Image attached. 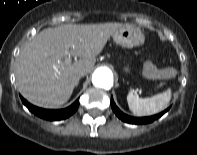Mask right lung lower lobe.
I'll return each mask as SVG.
<instances>
[{"label":"right lung lower lobe","mask_w":197,"mask_h":155,"mask_svg":"<svg viewBox=\"0 0 197 155\" xmlns=\"http://www.w3.org/2000/svg\"><path fill=\"white\" fill-rule=\"evenodd\" d=\"M21 97V96H20ZM23 104L36 116L43 118L45 120H63L70 117L79 107V99H77L72 105L61 110H49L36 107L29 102H27L23 97H21Z\"/></svg>","instance_id":"1"}]
</instances>
